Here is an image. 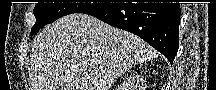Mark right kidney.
<instances>
[{
  "label": "right kidney",
  "instance_id": "1",
  "mask_svg": "<svg viewBox=\"0 0 216 90\" xmlns=\"http://www.w3.org/2000/svg\"><path fill=\"white\" fill-rule=\"evenodd\" d=\"M124 88H129V86H124Z\"/></svg>",
  "mask_w": 216,
  "mask_h": 90
}]
</instances>
